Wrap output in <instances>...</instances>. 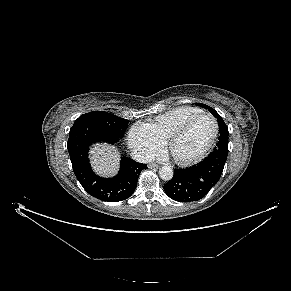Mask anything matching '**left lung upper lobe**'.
Instances as JSON below:
<instances>
[{
	"mask_svg": "<svg viewBox=\"0 0 291 291\" xmlns=\"http://www.w3.org/2000/svg\"><path fill=\"white\" fill-rule=\"evenodd\" d=\"M206 109H208L218 120L219 130H220V137L224 139H228V127L226 126L222 117L214 110L213 108L205 105V104H198Z\"/></svg>",
	"mask_w": 291,
	"mask_h": 291,
	"instance_id": "5c2ea615",
	"label": "left lung upper lobe"
}]
</instances>
